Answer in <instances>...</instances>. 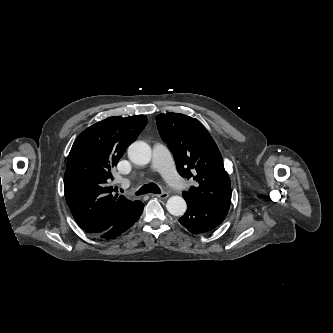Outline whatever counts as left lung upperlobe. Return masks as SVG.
<instances>
[{
  "instance_id": "5c2ea615",
  "label": "left lung upper lobe",
  "mask_w": 333,
  "mask_h": 333,
  "mask_svg": "<svg viewBox=\"0 0 333 333\" xmlns=\"http://www.w3.org/2000/svg\"><path fill=\"white\" fill-rule=\"evenodd\" d=\"M159 134L173 153L179 174L195 180V185L182 193L197 203L228 211L231 183L223 159L213 138L196 119L178 113L156 117Z\"/></svg>"
}]
</instances>
